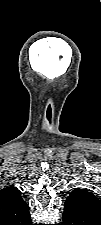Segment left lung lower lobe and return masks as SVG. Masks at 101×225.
Returning <instances> with one entry per match:
<instances>
[{
	"label": "left lung lower lobe",
	"mask_w": 101,
	"mask_h": 225,
	"mask_svg": "<svg viewBox=\"0 0 101 225\" xmlns=\"http://www.w3.org/2000/svg\"><path fill=\"white\" fill-rule=\"evenodd\" d=\"M62 225H101V219L87 214L64 210Z\"/></svg>",
	"instance_id": "obj_1"
}]
</instances>
